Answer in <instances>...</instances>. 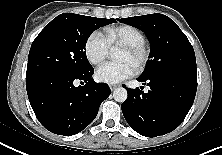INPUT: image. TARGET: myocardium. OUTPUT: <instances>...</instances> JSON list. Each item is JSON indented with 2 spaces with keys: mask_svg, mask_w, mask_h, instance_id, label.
<instances>
[{
  "mask_svg": "<svg viewBox=\"0 0 222 155\" xmlns=\"http://www.w3.org/2000/svg\"><path fill=\"white\" fill-rule=\"evenodd\" d=\"M122 49L129 52L131 55L137 58V63L135 65V70L137 72H142L148 65L150 59V52L148 48L143 45H126Z\"/></svg>",
  "mask_w": 222,
  "mask_h": 155,
  "instance_id": "obj_1",
  "label": "myocardium"
}]
</instances>
